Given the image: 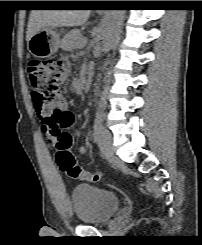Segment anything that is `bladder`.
<instances>
[{"instance_id":"obj_1","label":"bladder","mask_w":202,"mask_h":245,"mask_svg":"<svg viewBox=\"0 0 202 245\" xmlns=\"http://www.w3.org/2000/svg\"><path fill=\"white\" fill-rule=\"evenodd\" d=\"M71 202L78 220L91 225L103 224L121 205L115 193L88 184L73 189Z\"/></svg>"}]
</instances>
